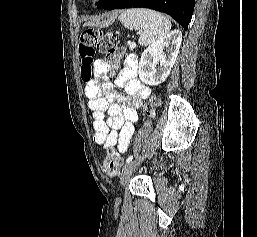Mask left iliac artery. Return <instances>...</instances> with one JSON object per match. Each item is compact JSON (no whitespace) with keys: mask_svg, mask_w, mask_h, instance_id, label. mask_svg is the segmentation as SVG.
Returning <instances> with one entry per match:
<instances>
[{"mask_svg":"<svg viewBox=\"0 0 257 237\" xmlns=\"http://www.w3.org/2000/svg\"><path fill=\"white\" fill-rule=\"evenodd\" d=\"M133 159V155H130L127 160H126V164L130 163Z\"/></svg>","mask_w":257,"mask_h":237,"instance_id":"left-iliac-artery-1","label":"left iliac artery"}]
</instances>
